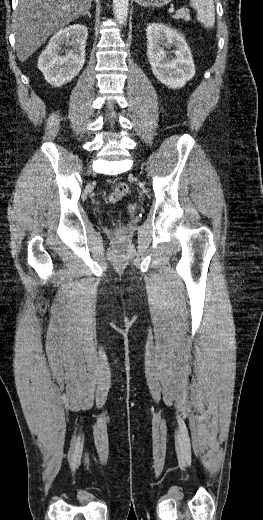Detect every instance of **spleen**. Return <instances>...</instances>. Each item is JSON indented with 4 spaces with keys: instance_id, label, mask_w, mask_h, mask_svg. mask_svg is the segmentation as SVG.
I'll list each match as a JSON object with an SVG mask.
<instances>
[{
    "instance_id": "3e777b00",
    "label": "spleen",
    "mask_w": 263,
    "mask_h": 520,
    "mask_svg": "<svg viewBox=\"0 0 263 520\" xmlns=\"http://www.w3.org/2000/svg\"><path fill=\"white\" fill-rule=\"evenodd\" d=\"M190 5L197 11V20L205 28H211L215 23V6L213 0H190Z\"/></svg>"
}]
</instances>
